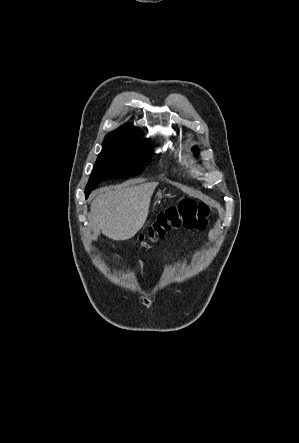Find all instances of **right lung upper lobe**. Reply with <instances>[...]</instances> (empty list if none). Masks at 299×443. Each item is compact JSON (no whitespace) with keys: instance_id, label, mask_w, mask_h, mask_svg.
<instances>
[{"instance_id":"obj_1","label":"right lung upper lobe","mask_w":299,"mask_h":443,"mask_svg":"<svg viewBox=\"0 0 299 443\" xmlns=\"http://www.w3.org/2000/svg\"><path fill=\"white\" fill-rule=\"evenodd\" d=\"M139 134H141L139 129L126 125V126H123L115 131L108 133L106 138L118 137V136L139 135Z\"/></svg>"}]
</instances>
